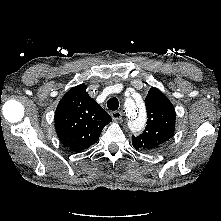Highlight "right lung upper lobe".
Masks as SVG:
<instances>
[{
  "label": "right lung upper lobe",
  "instance_id": "1",
  "mask_svg": "<svg viewBox=\"0 0 221 221\" xmlns=\"http://www.w3.org/2000/svg\"><path fill=\"white\" fill-rule=\"evenodd\" d=\"M55 129L61 143L72 151L95 144L110 115L86 92V85L71 88L55 112Z\"/></svg>",
  "mask_w": 221,
  "mask_h": 221
}]
</instances>
